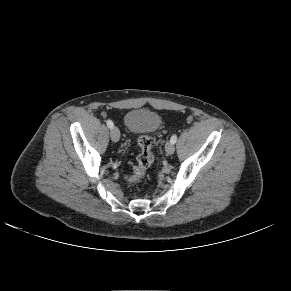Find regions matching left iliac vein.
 I'll list each match as a JSON object with an SVG mask.
<instances>
[{
  "label": "left iliac vein",
  "mask_w": 291,
  "mask_h": 291,
  "mask_svg": "<svg viewBox=\"0 0 291 291\" xmlns=\"http://www.w3.org/2000/svg\"><path fill=\"white\" fill-rule=\"evenodd\" d=\"M165 151L167 154L171 155L174 153L175 151V146L173 143L171 142H167L166 145H165Z\"/></svg>",
  "instance_id": "obj_1"
}]
</instances>
